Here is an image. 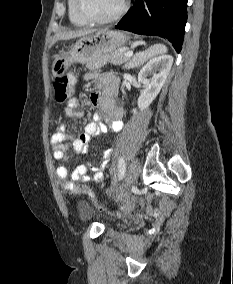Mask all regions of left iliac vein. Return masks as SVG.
I'll use <instances>...</instances> for the list:
<instances>
[{
	"label": "left iliac vein",
	"mask_w": 233,
	"mask_h": 284,
	"mask_svg": "<svg viewBox=\"0 0 233 284\" xmlns=\"http://www.w3.org/2000/svg\"><path fill=\"white\" fill-rule=\"evenodd\" d=\"M140 173V162L137 158L133 159L128 167L125 181L122 186V191L128 189L137 179Z\"/></svg>",
	"instance_id": "1"
}]
</instances>
